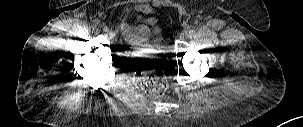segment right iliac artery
Masks as SVG:
<instances>
[{
  "label": "right iliac artery",
  "mask_w": 303,
  "mask_h": 127,
  "mask_svg": "<svg viewBox=\"0 0 303 127\" xmlns=\"http://www.w3.org/2000/svg\"><path fill=\"white\" fill-rule=\"evenodd\" d=\"M93 25H94V26H99V21H98V20H94V21H93Z\"/></svg>",
  "instance_id": "right-iliac-artery-1"
}]
</instances>
